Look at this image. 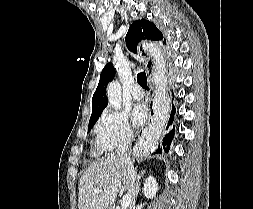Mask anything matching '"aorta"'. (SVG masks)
<instances>
[{"instance_id": "762f6f07", "label": "aorta", "mask_w": 253, "mask_h": 209, "mask_svg": "<svg viewBox=\"0 0 253 209\" xmlns=\"http://www.w3.org/2000/svg\"><path fill=\"white\" fill-rule=\"evenodd\" d=\"M107 98L109 103L116 109L121 108L122 97H121V86L117 81H112L107 87Z\"/></svg>"}]
</instances>
